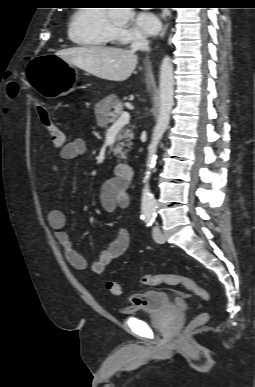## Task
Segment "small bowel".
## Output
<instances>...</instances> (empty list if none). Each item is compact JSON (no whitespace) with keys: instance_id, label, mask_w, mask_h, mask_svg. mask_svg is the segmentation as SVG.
<instances>
[{"instance_id":"1","label":"small bowel","mask_w":255,"mask_h":387,"mask_svg":"<svg viewBox=\"0 0 255 387\" xmlns=\"http://www.w3.org/2000/svg\"><path fill=\"white\" fill-rule=\"evenodd\" d=\"M87 149L86 141L82 138H75L69 141L67 145L59 150L58 156L61 160L70 161L81 157ZM56 170L55 167L52 168ZM100 203L107 212H113L116 208H125L129 204L127 193V183L120 178H111L107 180L101 188ZM47 220L50 227L54 230L55 237L61 245L64 255L69 264L78 270H85L88 267L87 260L74 247V244L65 230L66 217L59 209H52L48 212ZM130 246V234L127 229L119 228L115 238L104 249L90 269L95 274H101L105 268L115 259L126 253ZM131 305L140 303L139 297L130 299Z\"/></svg>"}]
</instances>
